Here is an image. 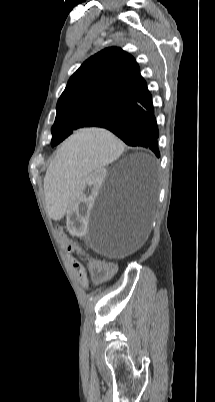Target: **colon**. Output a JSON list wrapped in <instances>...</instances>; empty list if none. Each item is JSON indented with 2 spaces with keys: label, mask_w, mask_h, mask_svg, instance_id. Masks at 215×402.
<instances>
[{
  "label": "colon",
  "mask_w": 215,
  "mask_h": 402,
  "mask_svg": "<svg viewBox=\"0 0 215 402\" xmlns=\"http://www.w3.org/2000/svg\"><path fill=\"white\" fill-rule=\"evenodd\" d=\"M57 230H63L64 224L57 223L55 225ZM57 237L59 241L64 244V251L66 254H79L81 260H89L91 254L89 251H85L83 246L76 245L77 241L75 239H70L64 235L62 231L57 233ZM73 267L77 270H80V265L76 262H72ZM116 271V266L112 263H107L103 261H96L92 266V275L96 281H103L104 279L108 278Z\"/></svg>",
  "instance_id": "colon-1"
}]
</instances>
